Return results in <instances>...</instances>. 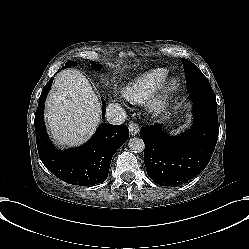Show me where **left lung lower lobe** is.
Here are the masks:
<instances>
[{
    "instance_id": "obj_1",
    "label": "left lung lower lobe",
    "mask_w": 249,
    "mask_h": 249,
    "mask_svg": "<svg viewBox=\"0 0 249 249\" xmlns=\"http://www.w3.org/2000/svg\"><path fill=\"white\" fill-rule=\"evenodd\" d=\"M194 125L189 132L169 137L155 124L141 129L145 143L147 174L158 184L180 185L200 174L207 166L218 139L217 104L213 91L190 92Z\"/></svg>"
}]
</instances>
